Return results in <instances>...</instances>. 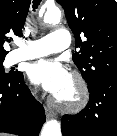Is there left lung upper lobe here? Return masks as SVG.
Wrapping results in <instances>:
<instances>
[{"label":"left lung upper lobe","instance_id":"left-lung-upper-lobe-1","mask_svg":"<svg viewBox=\"0 0 117 136\" xmlns=\"http://www.w3.org/2000/svg\"><path fill=\"white\" fill-rule=\"evenodd\" d=\"M65 10L80 50L73 61L88 89L117 75V3L115 0H56ZM83 36L85 39L81 40Z\"/></svg>","mask_w":117,"mask_h":136}]
</instances>
